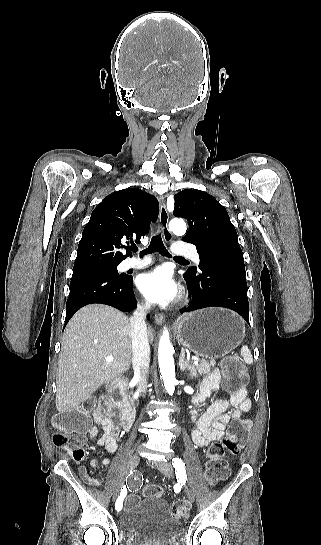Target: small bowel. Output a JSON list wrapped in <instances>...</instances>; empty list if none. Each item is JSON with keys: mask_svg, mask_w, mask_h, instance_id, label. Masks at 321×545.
<instances>
[{"mask_svg": "<svg viewBox=\"0 0 321 545\" xmlns=\"http://www.w3.org/2000/svg\"><path fill=\"white\" fill-rule=\"evenodd\" d=\"M221 376L217 369L213 370L202 382L199 392L193 398L194 408L192 410V420L194 426L191 431L193 442L198 447H207L210 443L219 440L223 437L224 430L231 420L238 419L243 413L248 412L251 408V401L247 398L245 392L233 393L227 399H222L208 407L206 412L196 417V408L203 402L213 391L217 390L220 384ZM232 408V409H231ZM117 417L116 411L107 405L99 407L94 414L95 426L88 430V436L91 439H97V444L105 447V449L113 453L118 447V438L121 435V427L115 422ZM99 429L102 433L99 435ZM110 460L92 459L91 466L96 468L99 466L108 467ZM81 470H86L84 467ZM96 484L101 481V478H93Z\"/></svg>", "mask_w": 321, "mask_h": 545, "instance_id": "c3829d8e", "label": "small bowel"}]
</instances>
